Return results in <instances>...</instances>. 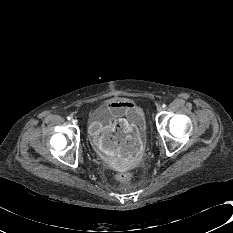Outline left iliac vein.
Masks as SVG:
<instances>
[{"mask_svg": "<svg viewBox=\"0 0 233 233\" xmlns=\"http://www.w3.org/2000/svg\"><path fill=\"white\" fill-rule=\"evenodd\" d=\"M157 111L161 112L162 111V107L161 106H157Z\"/></svg>", "mask_w": 233, "mask_h": 233, "instance_id": "1", "label": "left iliac vein"}]
</instances>
